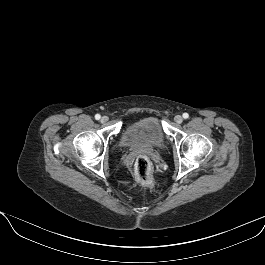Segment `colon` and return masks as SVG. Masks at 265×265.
<instances>
[{
  "instance_id": "5ec220e1",
  "label": "colon",
  "mask_w": 265,
  "mask_h": 265,
  "mask_svg": "<svg viewBox=\"0 0 265 265\" xmlns=\"http://www.w3.org/2000/svg\"><path fill=\"white\" fill-rule=\"evenodd\" d=\"M134 173L139 183L145 186H153L155 181L152 174L150 161L146 156H139L134 164Z\"/></svg>"
}]
</instances>
